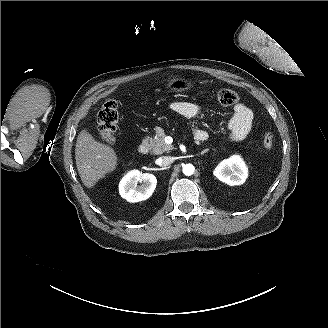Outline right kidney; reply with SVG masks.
<instances>
[{
  "mask_svg": "<svg viewBox=\"0 0 328 328\" xmlns=\"http://www.w3.org/2000/svg\"><path fill=\"white\" fill-rule=\"evenodd\" d=\"M156 185L157 179L153 174L132 171L121 180L119 189L124 199L139 202L151 197Z\"/></svg>",
  "mask_w": 328,
  "mask_h": 328,
  "instance_id": "right-kidney-1",
  "label": "right kidney"
}]
</instances>
